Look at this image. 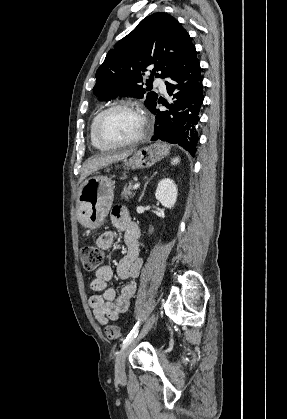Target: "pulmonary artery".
Here are the masks:
<instances>
[{
	"mask_svg": "<svg viewBox=\"0 0 287 419\" xmlns=\"http://www.w3.org/2000/svg\"><path fill=\"white\" fill-rule=\"evenodd\" d=\"M154 84H155V86H157L160 89V91L162 93H165L166 92V85H165V83H164V81L162 79L156 78L154 80Z\"/></svg>",
	"mask_w": 287,
	"mask_h": 419,
	"instance_id": "pulmonary-artery-1",
	"label": "pulmonary artery"
}]
</instances>
